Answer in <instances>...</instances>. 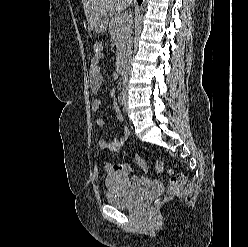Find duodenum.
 I'll list each match as a JSON object with an SVG mask.
<instances>
[{
    "instance_id": "obj_1",
    "label": "duodenum",
    "mask_w": 248,
    "mask_h": 247,
    "mask_svg": "<svg viewBox=\"0 0 248 247\" xmlns=\"http://www.w3.org/2000/svg\"><path fill=\"white\" fill-rule=\"evenodd\" d=\"M116 70L119 73H123L125 70V56L123 54H120L117 57V61H116Z\"/></svg>"
}]
</instances>
